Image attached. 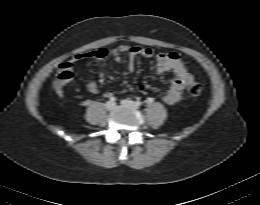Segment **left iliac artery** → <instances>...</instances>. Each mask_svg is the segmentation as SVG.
Returning <instances> with one entry per match:
<instances>
[{
  "label": "left iliac artery",
  "mask_w": 260,
  "mask_h": 205,
  "mask_svg": "<svg viewBox=\"0 0 260 205\" xmlns=\"http://www.w3.org/2000/svg\"><path fill=\"white\" fill-rule=\"evenodd\" d=\"M135 104H136V106H141V101H139V100H137L136 102H135Z\"/></svg>",
  "instance_id": "1"
}]
</instances>
